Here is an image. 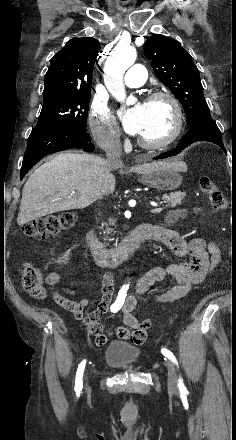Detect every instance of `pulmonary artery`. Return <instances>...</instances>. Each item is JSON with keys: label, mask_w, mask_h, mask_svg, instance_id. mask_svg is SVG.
<instances>
[{"label": "pulmonary artery", "mask_w": 236, "mask_h": 440, "mask_svg": "<svg viewBox=\"0 0 236 440\" xmlns=\"http://www.w3.org/2000/svg\"><path fill=\"white\" fill-rule=\"evenodd\" d=\"M147 71L144 66L135 64L127 71L124 83L128 88L140 87L145 83Z\"/></svg>", "instance_id": "1"}]
</instances>
